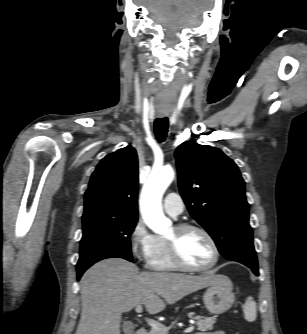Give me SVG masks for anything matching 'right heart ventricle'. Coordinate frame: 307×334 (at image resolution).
<instances>
[{"label": "right heart ventricle", "mask_w": 307, "mask_h": 334, "mask_svg": "<svg viewBox=\"0 0 307 334\" xmlns=\"http://www.w3.org/2000/svg\"><path fill=\"white\" fill-rule=\"evenodd\" d=\"M147 264L150 269L157 271H174L177 269L169 256L167 244L163 238L156 237V244Z\"/></svg>", "instance_id": "e07e8e85"}]
</instances>
